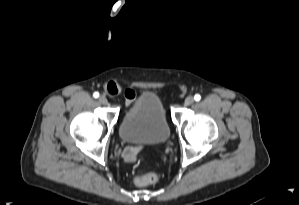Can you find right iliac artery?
<instances>
[{
    "label": "right iliac artery",
    "instance_id": "obj_1",
    "mask_svg": "<svg viewBox=\"0 0 299 205\" xmlns=\"http://www.w3.org/2000/svg\"><path fill=\"white\" fill-rule=\"evenodd\" d=\"M93 96H94V98H98L99 97V93L98 92H94Z\"/></svg>",
    "mask_w": 299,
    "mask_h": 205
}]
</instances>
